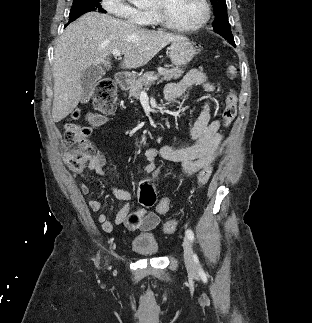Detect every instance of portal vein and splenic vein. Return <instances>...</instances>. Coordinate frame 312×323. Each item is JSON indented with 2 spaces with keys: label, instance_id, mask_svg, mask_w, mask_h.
Masks as SVG:
<instances>
[{
  "label": "portal vein and splenic vein",
  "instance_id": "1",
  "mask_svg": "<svg viewBox=\"0 0 312 323\" xmlns=\"http://www.w3.org/2000/svg\"><path fill=\"white\" fill-rule=\"evenodd\" d=\"M113 56H121L120 50H113ZM154 80H158V78H154ZM146 92H141V96H145Z\"/></svg>",
  "mask_w": 312,
  "mask_h": 323
}]
</instances>
